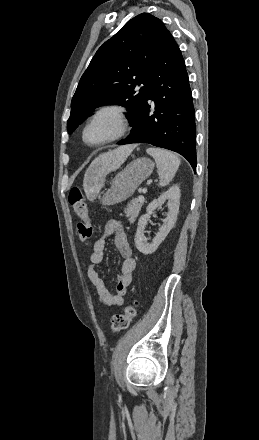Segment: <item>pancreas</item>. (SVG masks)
Listing matches in <instances>:
<instances>
[{
	"mask_svg": "<svg viewBox=\"0 0 259 440\" xmlns=\"http://www.w3.org/2000/svg\"><path fill=\"white\" fill-rule=\"evenodd\" d=\"M144 201L141 202L138 200V198L132 199L124 209V213L126 214V217L129 218V220H134L139 211L141 210V207L143 205Z\"/></svg>",
	"mask_w": 259,
	"mask_h": 440,
	"instance_id": "pancreas-1",
	"label": "pancreas"
}]
</instances>
